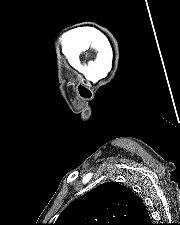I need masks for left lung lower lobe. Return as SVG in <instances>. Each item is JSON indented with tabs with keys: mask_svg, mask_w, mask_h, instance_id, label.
Returning a JSON list of instances; mask_svg holds the SVG:
<instances>
[{
	"mask_svg": "<svg viewBox=\"0 0 180 225\" xmlns=\"http://www.w3.org/2000/svg\"><path fill=\"white\" fill-rule=\"evenodd\" d=\"M128 225H152L147 210H145L139 216L130 221Z\"/></svg>",
	"mask_w": 180,
	"mask_h": 225,
	"instance_id": "1",
	"label": "left lung lower lobe"
}]
</instances>
